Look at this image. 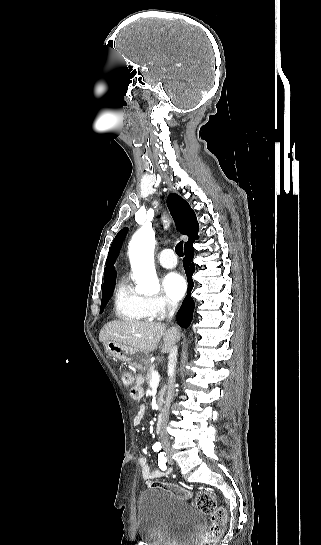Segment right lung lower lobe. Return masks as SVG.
<instances>
[{"mask_svg":"<svg viewBox=\"0 0 321 545\" xmlns=\"http://www.w3.org/2000/svg\"><path fill=\"white\" fill-rule=\"evenodd\" d=\"M198 238L199 237H198V231H197L192 237L189 238V241L186 242L184 246L185 258L183 260V266H184L187 280H188V293L181 308L179 309L177 313V322L181 327H185V328H187L190 325L193 318L194 301L191 297V291L194 286L192 275L195 272V265L193 263V258H194L193 243Z\"/></svg>","mask_w":321,"mask_h":545,"instance_id":"1","label":"right lung lower lobe"}]
</instances>
